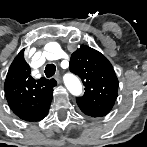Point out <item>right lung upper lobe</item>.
Instances as JSON below:
<instances>
[{
	"label": "right lung upper lobe",
	"mask_w": 147,
	"mask_h": 147,
	"mask_svg": "<svg viewBox=\"0 0 147 147\" xmlns=\"http://www.w3.org/2000/svg\"><path fill=\"white\" fill-rule=\"evenodd\" d=\"M20 51L12 62L5 80V95L11 110L21 119L29 122L46 117L57 82L44 77L35 80L30 67Z\"/></svg>",
	"instance_id": "right-lung-upper-lobe-1"
}]
</instances>
